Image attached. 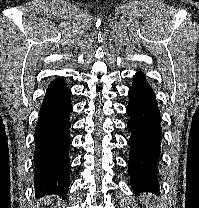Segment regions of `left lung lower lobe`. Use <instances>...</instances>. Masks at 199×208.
Wrapping results in <instances>:
<instances>
[{
	"instance_id": "obj_1",
	"label": "left lung lower lobe",
	"mask_w": 199,
	"mask_h": 208,
	"mask_svg": "<svg viewBox=\"0 0 199 208\" xmlns=\"http://www.w3.org/2000/svg\"><path fill=\"white\" fill-rule=\"evenodd\" d=\"M128 96L126 111L130 116L127 127L131 131L128 141L131 186L135 193H158L157 161L162 133L161 116L155 94L143 73L135 75Z\"/></svg>"
}]
</instances>
